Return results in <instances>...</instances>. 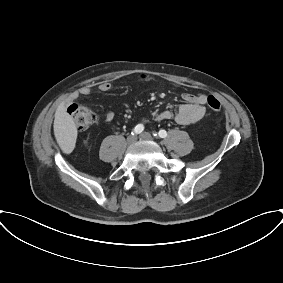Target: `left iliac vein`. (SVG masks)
<instances>
[{
    "instance_id": "left-iliac-vein-1",
    "label": "left iliac vein",
    "mask_w": 283,
    "mask_h": 283,
    "mask_svg": "<svg viewBox=\"0 0 283 283\" xmlns=\"http://www.w3.org/2000/svg\"><path fill=\"white\" fill-rule=\"evenodd\" d=\"M139 138L141 140H152V136L148 132H143L142 134H140Z\"/></svg>"
}]
</instances>
